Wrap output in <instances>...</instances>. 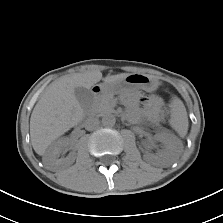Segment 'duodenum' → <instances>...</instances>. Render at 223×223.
<instances>
[{
  "instance_id": "1",
  "label": "duodenum",
  "mask_w": 223,
  "mask_h": 223,
  "mask_svg": "<svg viewBox=\"0 0 223 223\" xmlns=\"http://www.w3.org/2000/svg\"><path fill=\"white\" fill-rule=\"evenodd\" d=\"M93 93H94L95 95H99V94L101 93V88H100L99 86H95V87L93 88Z\"/></svg>"
}]
</instances>
